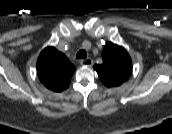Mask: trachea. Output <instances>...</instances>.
<instances>
[{
	"label": "trachea",
	"instance_id": "trachea-1",
	"mask_svg": "<svg viewBox=\"0 0 172 134\" xmlns=\"http://www.w3.org/2000/svg\"><path fill=\"white\" fill-rule=\"evenodd\" d=\"M87 57V52L85 50H80L77 54H76V58L77 59H86Z\"/></svg>",
	"mask_w": 172,
	"mask_h": 134
}]
</instances>
